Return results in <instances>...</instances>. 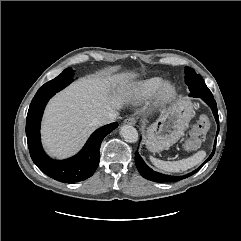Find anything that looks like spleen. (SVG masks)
Segmentation results:
<instances>
[{"label": "spleen", "instance_id": "obj_1", "mask_svg": "<svg viewBox=\"0 0 241 241\" xmlns=\"http://www.w3.org/2000/svg\"><path fill=\"white\" fill-rule=\"evenodd\" d=\"M206 156L205 151H199L193 156L178 161H163L150 156V161L155 167L165 172L186 171L201 163Z\"/></svg>", "mask_w": 241, "mask_h": 241}]
</instances>
